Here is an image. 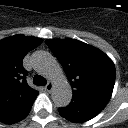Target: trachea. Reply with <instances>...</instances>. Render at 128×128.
Listing matches in <instances>:
<instances>
[{
  "label": "trachea",
  "instance_id": "3493384b",
  "mask_svg": "<svg viewBox=\"0 0 128 128\" xmlns=\"http://www.w3.org/2000/svg\"><path fill=\"white\" fill-rule=\"evenodd\" d=\"M33 83L37 86H45L47 84V81L44 77L35 75L33 78Z\"/></svg>",
  "mask_w": 128,
  "mask_h": 128
}]
</instances>
